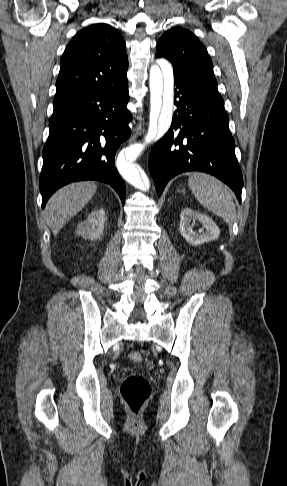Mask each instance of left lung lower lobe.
Returning a JSON list of instances; mask_svg holds the SVG:
<instances>
[{
    "instance_id": "1",
    "label": "left lung lower lobe",
    "mask_w": 287,
    "mask_h": 486,
    "mask_svg": "<svg viewBox=\"0 0 287 486\" xmlns=\"http://www.w3.org/2000/svg\"><path fill=\"white\" fill-rule=\"evenodd\" d=\"M174 77L177 109L170 129L156 143L149 158L158 196L175 175L202 171L228 184L241 202L242 173L224 104L189 80Z\"/></svg>"
}]
</instances>
